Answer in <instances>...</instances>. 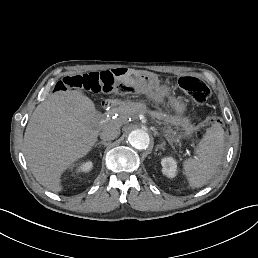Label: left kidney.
<instances>
[{
  "label": "left kidney",
  "instance_id": "1",
  "mask_svg": "<svg viewBox=\"0 0 258 258\" xmlns=\"http://www.w3.org/2000/svg\"><path fill=\"white\" fill-rule=\"evenodd\" d=\"M162 173L168 178H174L177 174V162L172 157H165L161 160Z\"/></svg>",
  "mask_w": 258,
  "mask_h": 258
}]
</instances>
